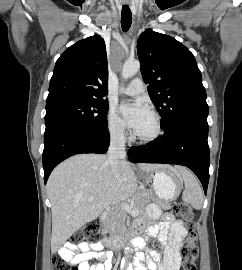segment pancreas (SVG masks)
<instances>
[{
  "instance_id": "obj_1",
  "label": "pancreas",
  "mask_w": 242,
  "mask_h": 270,
  "mask_svg": "<svg viewBox=\"0 0 242 270\" xmlns=\"http://www.w3.org/2000/svg\"><path fill=\"white\" fill-rule=\"evenodd\" d=\"M154 199L151 191L143 190L134 196L132 205L138 211L142 210L144 206ZM163 209H170L171 206L166 203H161ZM127 213L123 209L117 208L112 218L107 223L108 232L111 235L121 234L126 230Z\"/></svg>"
}]
</instances>
